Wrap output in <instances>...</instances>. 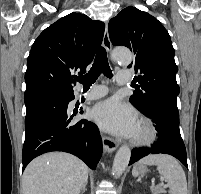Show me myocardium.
I'll list each match as a JSON object with an SVG mask.
<instances>
[{
  "mask_svg": "<svg viewBox=\"0 0 201 194\" xmlns=\"http://www.w3.org/2000/svg\"><path fill=\"white\" fill-rule=\"evenodd\" d=\"M137 128L139 133L134 135L132 143L136 146H147L154 142L156 138V130L152 123L142 118L138 121Z\"/></svg>",
  "mask_w": 201,
  "mask_h": 194,
  "instance_id": "f54148a6",
  "label": "myocardium"
}]
</instances>
